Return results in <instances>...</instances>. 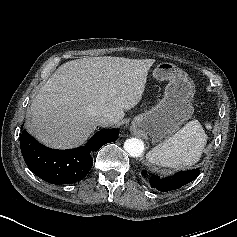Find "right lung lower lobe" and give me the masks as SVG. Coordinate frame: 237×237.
<instances>
[{"instance_id": "1", "label": "right lung lower lobe", "mask_w": 237, "mask_h": 237, "mask_svg": "<svg viewBox=\"0 0 237 237\" xmlns=\"http://www.w3.org/2000/svg\"><path fill=\"white\" fill-rule=\"evenodd\" d=\"M117 138L118 129L102 130L85 146L56 150L40 144L24 130L20 134V147L24 161L36 176L52 184H71L83 179L90 171L92 152Z\"/></svg>"}]
</instances>
